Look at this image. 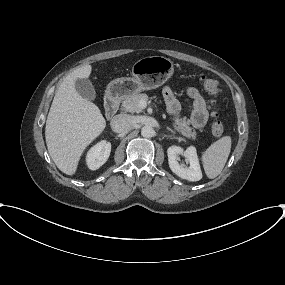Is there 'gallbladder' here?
Wrapping results in <instances>:
<instances>
[{
    "label": "gallbladder",
    "mask_w": 285,
    "mask_h": 285,
    "mask_svg": "<svg viewBox=\"0 0 285 285\" xmlns=\"http://www.w3.org/2000/svg\"><path fill=\"white\" fill-rule=\"evenodd\" d=\"M76 91L85 99L92 101L96 97L95 89L88 79L75 80Z\"/></svg>",
    "instance_id": "gallbladder-1"
}]
</instances>
